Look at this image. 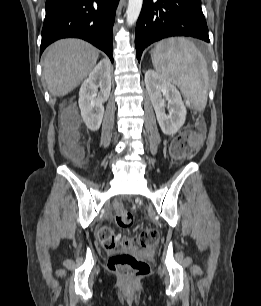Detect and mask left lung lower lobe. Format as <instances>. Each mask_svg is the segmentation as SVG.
<instances>
[{"instance_id": "1", "label": "left lung lower lobe", "mask_w": 261, "mask_h": 306, "mask_svg": "<svg viewBox=\"0 0 261 306\" xmlns=\"http://www.w3.org/2000/svg\"><path fill=\"white\" fill-rule=\"evenodd\" d=\"M171 36H191L209 42L201 0H143L135 36L138 61L147 46Z\"/></svg>"}]
</instances>
